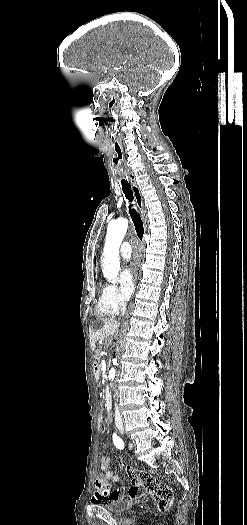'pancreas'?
I'll list each match as a JSON object with an SVG mask.
<instances>
[{
	"instance_id": "pancreas-1",
	"label": "pancreas",
	"mask_w": 247,
	"mask_h": 525,
	"mask_svg": "<svg viewBox=\"0 0 247 525\" xmlns=\"http://www.w3.org/2000/svg\"><path fill=\"white\" fill-rule=\"evenodd\" d=\"M94 361H98L100 359V356L98 355V352H95V355L93 356Z\"/></svg>"
}]
</instances>
